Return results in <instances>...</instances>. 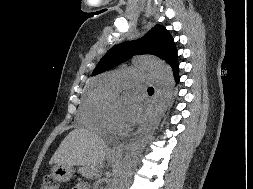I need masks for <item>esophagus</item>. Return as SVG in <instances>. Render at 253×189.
<instances>
[{
    "label": "esophagus",
    "mask_w": 253,
    "mask_h": 189,
    "mask_svg": "<svg viewBox=\"0 0 253 189\" xmlns=\"http://www.w3.org/2000/svg\"><path fill=\"white\" fill-rule=\"evenodd\" d=\"M126 146H127V143L124 142L122 144H119V145L113 147L111 149V154L112 155H118V156L122 155L123 152H124V150H125V148H126Z\"/></svg>",
    "instance_id": "esophagus-1"
}]
</instances>
